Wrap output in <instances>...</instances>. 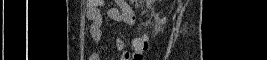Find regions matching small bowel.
I'll return each mask as SVG.
<instances>
[{"label": "small bowel", "mask_w": 267, "mask_h": 60, "mask_svg": "<svg viewBox=\"0 0 267 60\" xmlns=\"http://www.w3.org/2000/svg\"><path fill=\"white\" fill-rule=\"evenodd\" d=\"M104 1L102 0H89L87 2V18L90 21L89 32L92 39L97 44H102L103 42V20L100 8L103 6ZM116 8H111L108 10V17L116 22H123L128 25H133L135 22V16L133 10L125 2L118 0L116 1ZM134 47V40L132 42ZM115 46L117 51L121 52V60H130L131 53L125 51V41L122 38H117L115 41ZM89 60H101L99 53L94 52L90 55Z\"/></svg>", "instance_id": "obj_1"}]
</instances>
